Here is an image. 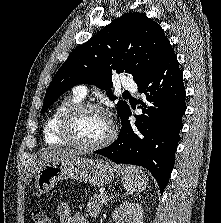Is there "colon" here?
<instances>
[{"instance_id": "1", "label": "colon", "mask_w": 221, "mask_h": 223, "mask_svg": "<svg viewBox=\"0 0 221 223\" xmlns=\"http://www.w3.org/2000/svg\"><path fill=\"white\" fill-rule=\"evenodd\" d=\"M33 223H52V219L47 211L38 209L33 214Z\"/></svg>"}]
</instances>
